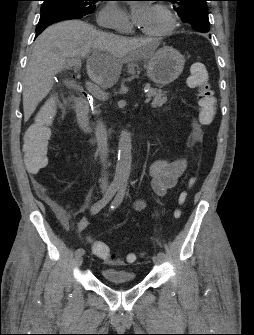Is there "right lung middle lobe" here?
I'll use <instances>...</instances> for the list:
<instances>
[{"mask_svg": "<svg viewBox=\"0 0 254 335\" xmlns=\"http://www.w3.org/2000/svg\"><path fill=\"white\" fill-rule=\"evenodd\" d=\"M41 6V13L53 10L61 9L75 13L79 16H85L91 14L96 5L95 3L100 0H43Z\"/></svg>", "mask_w": 254, "mask_h": 335, "instance_id": "right-lung-middle-lobe-1", "label": "right lung middle lobe"}]
</instances>
